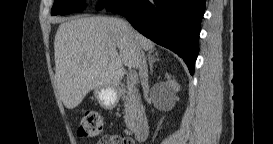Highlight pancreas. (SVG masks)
<instances>
[{"label": "pancreas", "mask_w": 273, "mask_h": 144, "mask_svg": "<svg viewBox=\"0 0 273 144\" xmlns=\"http://www.w3.org/2000/svg\"><path fill=\"white\" fill-rule=\"evenodd\" d=\"M127 88V95L123 97L125 107L124 121L127 128L133 129L136 120L143 114L144 108L141 104L138 90L134 86Z\"/></svg>", "instance_id": "1"}]
</instances>
